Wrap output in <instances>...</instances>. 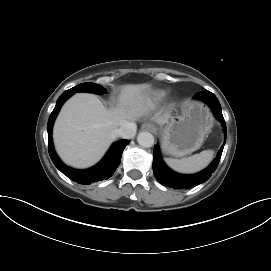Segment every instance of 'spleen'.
Segmentation results:
<instances>
[{"label":"spleen","mask_w":271,"mask_h":271,"mask_svg":"<svg viewBox=\"0 0 271 271\" xmlns=\"http://www.w3.org/2000/svg\"><path fill=\"white\" fill-rule=\"evenodd\" d=\"M213 150H204L188 158L173 159L164 158L165 163L174 171L184 174H192L201 171L212 161Z\"/></svg>","instance_id":"1"}]
</instances>
